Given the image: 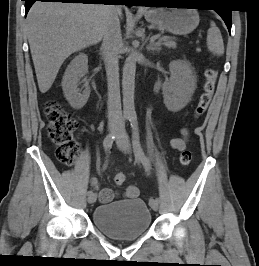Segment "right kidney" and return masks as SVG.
I'll list each match as a JSON object with an SVG mask.
<instances>
[{
    "mask_svg": "<svg viewBox=\"0 0 259 266\" xmlns=\"http://www.w3.org/2000/svg\"><path fill=\"white\" fill-rule=\"evenodd\" d=\"M87 71L88 57L86 54L80 53L70 62L64 73L61 83L64 97L74 109L83 108L90 96V87L86 80H84V90L78 88L80 79L85 76Z\"/></svg>",
    "mask_w": 259,
    "mask_h": 266,
    "instance_id": "obj_1",
    "label": "right kidney"
}]
</instances>
